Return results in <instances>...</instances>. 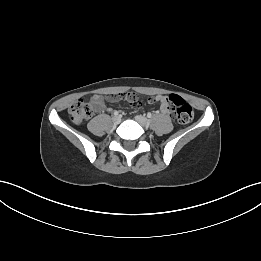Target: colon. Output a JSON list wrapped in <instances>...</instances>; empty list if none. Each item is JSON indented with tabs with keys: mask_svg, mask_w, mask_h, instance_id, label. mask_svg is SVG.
Masks as SVG:
<instances>
[{
	"mask_svg": "<svg viewBox=\"0 0 261 261\" xmlns=\"http://www.w3.org/2000/svg\"><path fill=\"white\" fill-rule=\"evenodd\" d=\"M136 93V92H135ZM169 114L174 115L181 124H188L194 117L192 106L178 95L171 94L164 96ZM92 108L83 100L75 101L69 108V115L72 122L81 124L90 118Z\"/></svg>",
	"mask_w": 261,
	"mask_h": 261,
	"instance_id": "obj_1",
	"label": "colon"
}]
</instances>
